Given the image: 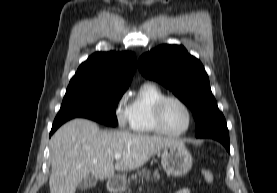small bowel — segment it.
<instances>
[{"mask_svg":"<svg viewBox=\"0 0 277 193\" xmlns=\"http://www.w3.org/2000/svg\"><path fill=\"white\" fill-rule=\"evenodd\" d=\"M175 193H192V190L190 188L185 187V188L179 189Z\"/></svg>","mask_w":277,"mask_h":193,"instance_id":"small-bowel-1","label":"small bowel"}]
</instances>
